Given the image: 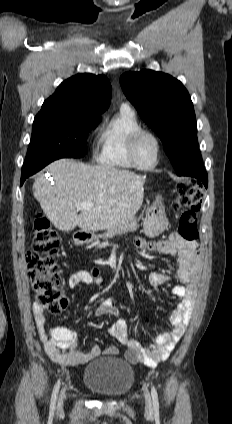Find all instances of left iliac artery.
Masks as SVG:
<instances>
[{
	"mask_svg": "<svg viewBox=\"0 0 232 424\" xmlns=\"http://www.w3.org/2000/svg\"><path fill=\"white\" fill-rule=\"evenodd\" d=\"M151 395H152L154 410L158 411L159 410L158 394H157L156 388L153 385L151 387Z\"/></svg>",
	"mask_w": 232,
	"mask_h": 424,
	"instance_id": "44dca946",
	"label": "left iliac artery"
}]
</instances>
